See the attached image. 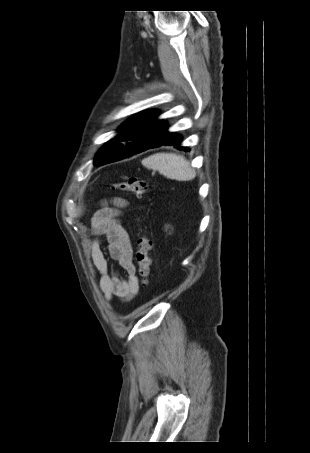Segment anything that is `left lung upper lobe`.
Segmentation results:
<instances>
[{
  "label": "left lung upper lobe",
  "mask_w": 310,
  "mask_h": 453,
  "mask_svg": "<svg viewBox=\"0 0 310 453\" xmlns=\"http://www.w3.org/2000/svg\"><path fill=\"white\" fill-rule=\"evenodd\" d=\"M158 115L156 110L144 111L121 125L118 128L121 133L99 150L94 165H103L132 153H139L148 145L163 139L168 133V126L162 120H156Z\"/></svg>",
  "instance_id": "left-lung-upper-lobe-1"
}]
</instances>
